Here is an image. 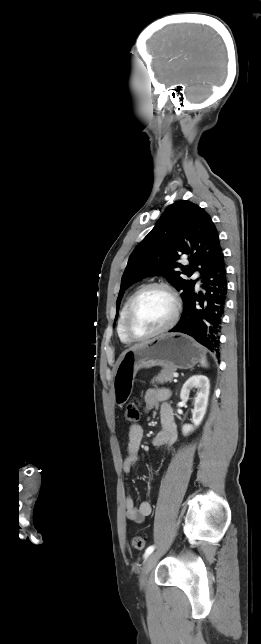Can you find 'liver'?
Segmentation results:
<instances>
[{"mask_svg":"<svg viewBox=\"0 0 261 644\" xmlns=\"http://www.w3.org/2000/svg\"><path fill=\"white\" fill-rule=\"evenodd\" d=\"M146 343H147V342L142 343V344L135 345V346H133L132 348H130L129 350H134V349H136V348H139V347H141V346L145 345ZM129 350H127V351H129ZM127 351H125L124 353H126Z\"/></svg>","mask_w":261,"mask_h":644,"instance_id":"1","label":"liver"}]
</instances>
